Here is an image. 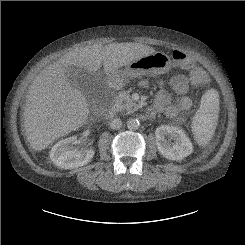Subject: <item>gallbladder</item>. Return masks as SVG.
Listing matches in <instances>:
<instances>
[{
    "mask_svg": "<svg viewBox=\"0 0 245 245\" xmlns=\"http://www.w3.org/2000/svg\"><path fill=\"white\" fill-rule=\"evenodd\" d=\"M67 75L72 87L82 92L91 108L97 109L109 99L106 85L97 73L72 66L68 68Z\"/></svg>",
    "mask_w": 245,
    "mask_h": 245,
    "instance_id": "1",
    "label": "gallbladder"
}]
</instances>
